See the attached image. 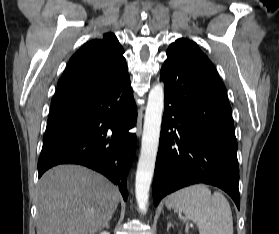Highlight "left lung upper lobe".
Listing matches in <instances>:
<instances>
[{
  "mask_svg": "<svg viewBox=\"0 0 279 234\" xmlns=\"http://www.w3.org/2000/svg\"><path fill=\"white\" fill-rule=\"evenodd\" d=\"M169 49H178L202 61H208L207 56L199 49L196 43L188 39H178L169 46Z\"/></svg>",
  "mask_w": 279,
  "mask_h": 234,
  "instance_id": "left-lung-upper-lobe-1",
  "label": "left lung upper lobe"
}]
</instances>
